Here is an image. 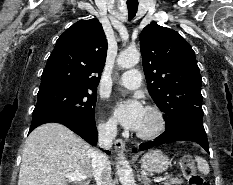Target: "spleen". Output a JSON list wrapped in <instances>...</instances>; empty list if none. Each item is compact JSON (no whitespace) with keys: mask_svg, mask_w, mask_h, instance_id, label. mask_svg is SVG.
Returning <instances> with one entry per match:
<instances>
[{"mask_svg":"<svg viewBox=\"0 0 233 185\" xmlns=\"http://www.w3.org/2000/svg\"><path fill=\"white\" fill-rule=\"evenodd\" d=\"M195 161H196V163L198 165V170L202 174H204V175L209 174L210 168H209V165H208L207 161L204 158H202L200 156H195Z\"/></svg>","mask_w":233,"mask_h":185,"instance_id":"1","label":"spleen"}]
</instances>
